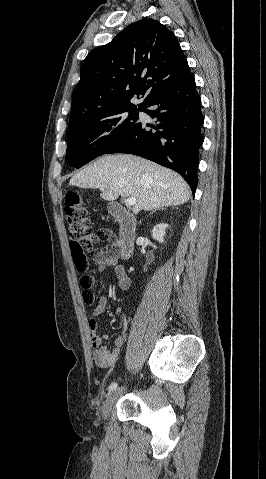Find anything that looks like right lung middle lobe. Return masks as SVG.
<instances>
[{"mask_svg":"<svg viewBox=\"0 0 266 479\" xmlns=\"http://www.w3.org/2000/svg\"><path fill=\"white\" fill-rule=\"evenodd\" d=\"M142 107H124L69 121L66 161L80 168L105 154L138 122Z\"/></svg>","mask_w":266,"mask_h":479,"instance_id":"right-lung-middle-lobe-1","label":"right lung middle lobe"}]
</instances>
